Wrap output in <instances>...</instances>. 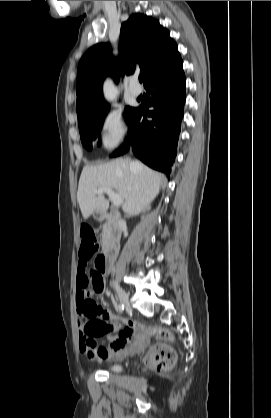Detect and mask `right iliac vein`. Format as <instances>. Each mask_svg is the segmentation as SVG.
Masks as SVG:
<instances>
[{"label": "right iliac vein", "instance_id": "1", "mask_svg": "<svg viewBox=\"0 0 271 418\" xmlns=\"http://www.w3.org/2000/svg\"><path fill=\"white\" fill-rule=\"evenodd\" d=\"M116 292L118 295V298L121 302V304L123 306H125L126 308L130 307V303H129V297L128 294L126 293V291L124 289H122L121 287H116Z\"/></svg>", "mask_w": 271, "mask_h": 418}]
</instances>
